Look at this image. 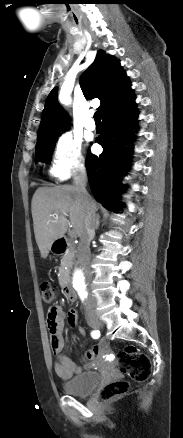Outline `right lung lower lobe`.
<instances>
[{
    "label": "right lung lower lobe",
    "instance_id": "right-lung-lower-lobe-1",
    "mask_svg": "<svg viewBox=\"0 0 183 438\" xmlns=\"http://www.w3.org/2000/svg\"><path fill=\"white\" fill-rule=\"evenodd\" d=\"M137 114L134 94L103 114V132L97 138L103 153L99 156L89 153L86 160L91 190L108 210L116 211L122 205L118 201L125 187L121 179L130 160L125 145L134 141Z\"/></svg>",
    "mask_w": 183,
    "mask_h": 438
}]
</instances>
